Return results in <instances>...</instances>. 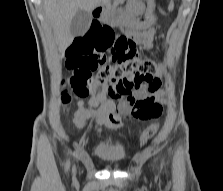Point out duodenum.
<instances>
[{
  "mask_svg": "<svg viewBox=\"0 0 223 191\" xmlns=\"http://www.w3.org/2000/svg\"><path fill=\"white\" fill-rule=\"evenodd\" d=\"M103 12H104V7L103 6H96L93 9V17L98 18L103 14Z\"/></svg>",
  "mask_w": 223,
  "mask_h": 191,
  "instance_id": "410a0bca",
  "label": "duodenum"
}]
</instances>
